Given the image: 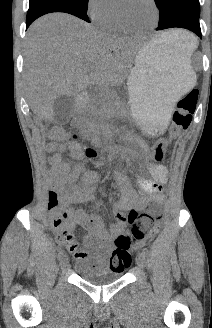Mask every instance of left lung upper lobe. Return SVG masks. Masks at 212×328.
Masks as SVG:
<instances>
[{"mask_svg": "<svg viewBox=\"0 0 212 328\" xmlns=\"http://www.w3.org/2000/svg\"><path fill=\"white\" fill-rule=\"evenodd\" d=\"M159 8V23H163L172 12L178 9L185 10L197 18L200 16L199 0H154Z\"/></svg>", "mask_w": 212, "mask_h": 328, "instance_id": "obj_1", "label": "left lung upper lobe"}]
</instances>
